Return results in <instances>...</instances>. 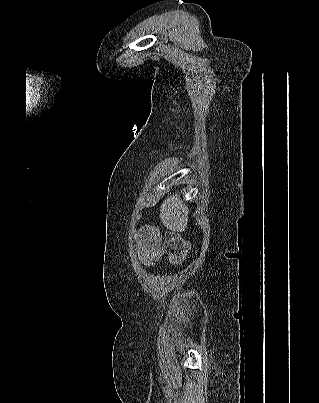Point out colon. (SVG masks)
Returning <instances> with one entry per match:
<instances>
[{
  "mask_svg": "<svg viewBox=\"0 0 319 403\" xmlns=\"http://www.w3.org/2000/svg\"><path fill=\"white\" fill-rule=\"evenodd\" d=\"M142 233L145 239L139 240V247L148 248L154 256L162 248L168 254L172 263L179 264L185 260L189 253V244L175 234H167L165 242L161 246V238L157 230L145 226L142 228Z\"/></svg>",
  "mask_w": 319,
  "mask_h": 403,
  "instance_id": "1",
  "label": "colon"
}]
</instances>
